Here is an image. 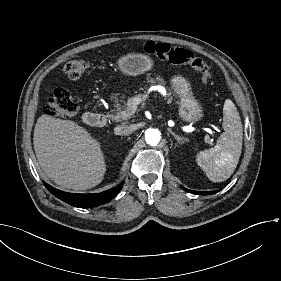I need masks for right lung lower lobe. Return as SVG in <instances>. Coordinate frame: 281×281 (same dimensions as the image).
<instances>
[{"label": "right lung lower lobe", "instance_id": "right-lung-lower-lobe-1", "mask_svg": "<svg viewBox=\"0 0 281 281\" xmlns=\"http://www.w3.org/2000/svg\"><path fill=\"white\" fill-rule=\"evenodd\" d=\"M124 182L107 191L96 194H75L55 189L44 182L45 187L57 198L79 208H92L102 205L113 199L122 189Z\"/></svg>", "mask_w": 281, "mask_h": 281}]
</instances>
